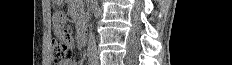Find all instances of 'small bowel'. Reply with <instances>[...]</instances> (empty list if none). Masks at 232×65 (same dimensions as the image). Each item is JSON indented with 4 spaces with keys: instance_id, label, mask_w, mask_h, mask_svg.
<instances>
[{
    "instance_id": "obj_1",
    "label": "small bowel",
    "mask_w": 232,
    "mask_h": 65,
    "mask_svg": "<svg viewBox=\"0 0 232 65\" xmlns=\"http://www.w3.org/2000/svg\"><path fill=\"white\" fill-rule=\"evenodd\" d=\"M54 17L56 21V33L58 37H74V32H69L71 30L70 26H67L69 24V21L66 20L65 12H54ZM62 65H73L72 62H67Z\"/></svg>"
}]
</instances>
